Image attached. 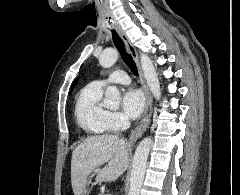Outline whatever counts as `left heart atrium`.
Listing matches in <instances>:
<instances>
[{
    "label": "left heart atrium",
    "instance_id": "obj_1",
    "mask_svg": "<svg viewBox=\"0 0 240 195\" xmlns=\"http://www.w3.org/2000/svg\"><path fill=\"white\" fill-rule=\"evenodd\" d=\"M145 107L143 93L137 89H130L123 97V108L131 118H137L141 115Z\"/></svg>",
    "mask_w": 240,
    "mask_h": 195
}]
</instances>
